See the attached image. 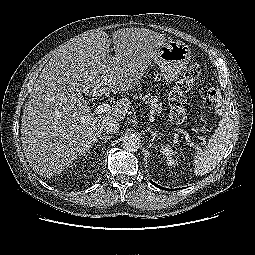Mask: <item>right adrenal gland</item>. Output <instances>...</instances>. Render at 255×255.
<instances>
[{"label":"right adrenal gland","instance_id":"obj_1","mask_svg":"<svg viewBox=\"0 0 255 255\" xmlns=\"http://www.w3.org/2000/svg\"><path fill=\"white\" fill-rule=\"evenodd\" d=\"M112 138V136H102V137H99L98 139H101V140H104V142H108V140H110Z\"/></svg>","mask_w":255,"mask_h":255}]
</instances>
